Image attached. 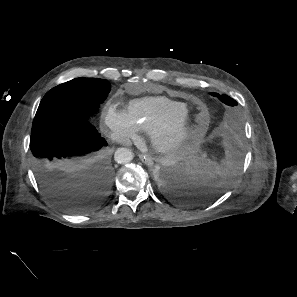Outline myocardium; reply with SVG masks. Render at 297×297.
<instances>
[{"instance_id":"f54148a6","label":"myocardium","mask_w":297,"mask_h":297,"mask_svg":"<svg viewBox=\"0 0 297 297\" xmlns=\"http://www.w3.org/2000/svg\"><path fill=\"white\" fill-rule=\"evenodd\" d=\"M197 123V119L188 109L159 121L147 131L152 149L161 156L175 153L188 142ZM173 130H177L178 133L168 138Z\"/></svg>"}]
</instances>
